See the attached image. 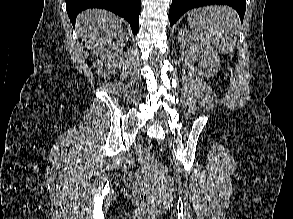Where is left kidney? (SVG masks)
<instances>
[{
	"label": "left kidney",
	"mask_w": 293,
	"mask_h": 219,
	"mask_svg": "<svg viewBox=\"0 0 293 219\" xmlns=\"http://www.w3.org/2000/svg\"><path fill=\"white\" fill-rule=\"evenodd\" d=\"M180 47L190 62L198 63L199 73L206 78L214 76L220 70V57L209 44L193 36L187 29L178 32Z\"/></svg>",
	"instance_id": "5707ae66"
}]
</instances>
